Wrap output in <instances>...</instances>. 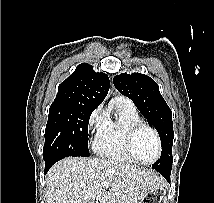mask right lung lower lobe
Returning a JSON list of instances; mask_svg holds the SVG:
<instances>
[{"label":"right lung lower lobe","mask_w":214,"mask_h":203,"mask_svg":"<svg viewBox=\"0 0 214 203\" xmlns=\"http://www.w3.org/2000/svg\"><path fill=\"white\" fill-rule=\"evenodd\" d=\"M56 163L54 161H45V173L51 168V166Z\"/></svg>","instance_id":"obj_1"}]
</instances>
